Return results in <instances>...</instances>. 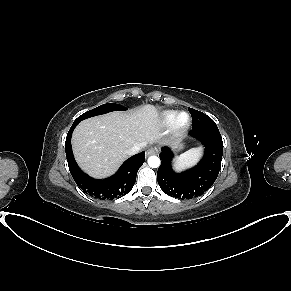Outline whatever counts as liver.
<instances>
[{
  "instance_id": "obj_1",
  "label": "liver",
  "mask_w": 291,
  "mask_h": 291,
  "mask_svg": "<svg viewBox=\"0 0 291 291\" xmlns=\"http://www.w3.org/2000/svg\"><path fill=\"white\" fill-rule=\"evenodd\" d=\"M161 118L150 104L128 112H112L82 121L72 137L75 158L94 177L112 174L136 144L160 138Z\"/></svg>"
}]
</instances>
